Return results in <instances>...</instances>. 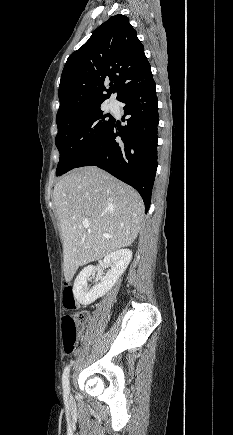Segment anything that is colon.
Masks as SVG:
<instances>
[{
    "label": "colon",
    "mask_w": 233,
    "mask_h": 435,
    "mask_svg": "<svg viewBox=\"0 0 233 435\" xmlns=\"http://www.w3.org/2000/svg\"><path fill=\"white\" fill-rule=\"evenodd\" d=\"M63 305L69 310H76L79 306L74 296L73 286L69 283L64 287ZM87 318L86 312L65 314L62 317L63 346L67 354L73 352L78 339L79 328Z\"/></svg>",
    "instance_id": "obj_1"
}]
</instances>
